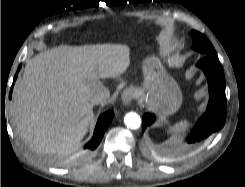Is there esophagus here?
Instances as JSON below:
<instances>
[{"label": "esophagus", "mask_w": 245, "mask_h": 187, "mask_svg": "<svg viewBox=\"0 0 245 187\" xmlns=\"http://www.w3.org/2000/svg\"><path fill=\"white\" fill-rule=\"evenodd\" d=\"M134 98V92L132 89L127 88L122 92L121 99L124 105L128 106Z\"/></svg>", "instance_id": "1"}]
</instances>
